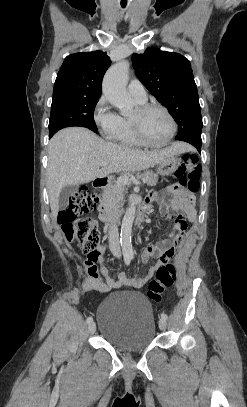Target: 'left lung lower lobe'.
I'll return each mask as SVG.
<instances>
[{"label": "left lung lower lobe", "instance_id": "0a47b994", "mask_svg": "<svg viewBox=\"0 0 247 407\" xmlns=\"http://www.w3.org/2000/svg\"><path fill=\"white\" fill-rule=\"evenodd\" d=\"M176 140H181L192 144L201 153V144H202L201 134L196 133L183 135L181 137L176 138Z\"/></svg>", "mask_w": 247, "mask_h": 407}]
</instances>
